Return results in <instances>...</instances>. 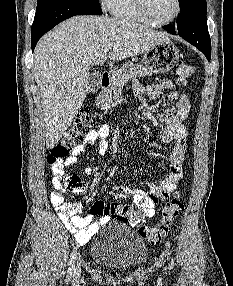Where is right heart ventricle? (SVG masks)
I'll return each mask as SVG.
<instances>
[{"label":"right heart ventricle","mask_w":233,"mask_h":286,"mask_svg":"<svg viewBox=\"0 0 233 286\" xmlns=\"http://www.w3.org/2000/svg\"><path fill=\"white\" fill-rule=\"evenodd\" d=\"M107 9L114 17L149 23L140 13L135 0H108Z\"/></svg>","instance_id":"1"}]
</instances>
